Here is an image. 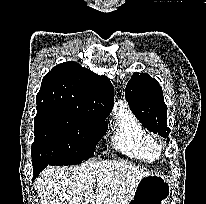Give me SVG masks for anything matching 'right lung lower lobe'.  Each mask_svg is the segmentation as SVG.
<instances>
[{"label":"right lung lower lobe","instance_id":"right-lung-lower-lobe-1","mask_svg":"<svg viewBox=\"0 0 206 204\" xmlns=\"http://www.w3.org/2000/svg\"><path fill=\"white\" fill-rule=\"evenodd\" d=\"M46 167V165H34L33 164V171H34V176L33 179L38 177L39 173Z\"/></svg>","mask_w":206,"mask_h":204}]
</instances>
